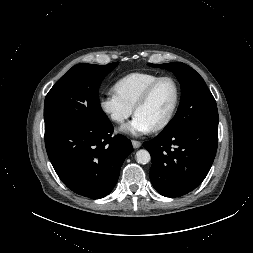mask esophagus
Listing matches in <instances>:
<instances>
[{"mask_svg":"<svg viewBox=\"0 0 253 253\" xmlns=\"http://www.w3.org/2000/svg\"><path fill=\"white\" fill-rule=\"evenodd\" d=\"M131 142H132V146L134 148H139L142 145V143L140 141H137V140H132Z\"/></svg>","mask_w":253,"mask_h":253,"instance_id":"34e87169","label":"esophagus"}]
</instances>
